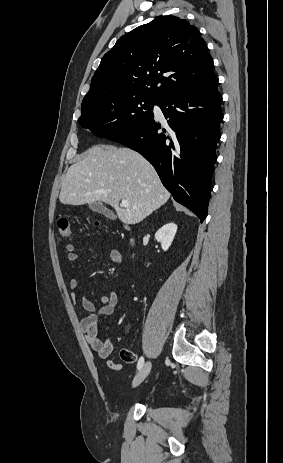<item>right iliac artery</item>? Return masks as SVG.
I'll use <instances>...</instances> for the list:
<instances>
[{"instance_id":"right-iliac-artery-1","label":"right iliac artery","mask_w":283,"mask_h":463,"mask_svg":"<svg viewBox=\"0 0 283 463\" xmlns=\"http://www.w3.org/2000/svg\"><path fill=\"white\" fill-rule=\"evenodd\" d=\"M144 364V358L140 357L137 364V369L140 370Z\"/></svg>"}]
</instances>
